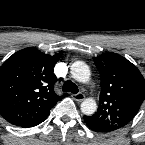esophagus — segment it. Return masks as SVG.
<instances>
[{"label": "esophagus", "mask_w": 145, "mask_h": 145, "mask_svg": "<svg viewBox=\"0 0 145 145\" xmlns=\"http://www.w3.org/2000/svg\"><path fill=\"white\" fill-rule=\"evenodd\" d=\"M72 97L75 101H78V102H81L85 99V95L83 93L74 94L72 95Z\"/></svg>", "instance_id": "1"}]
</instances>
